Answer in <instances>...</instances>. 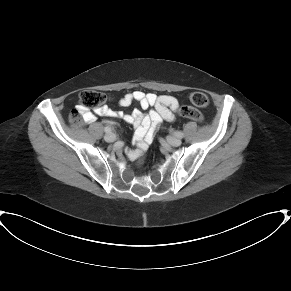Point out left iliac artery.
I'll return each mask as SVG.
<instances>
[{"instance_id":"left-iliac-artery-1","label":"left iliac artery","mask_w":291,"mask_h":291,"mask_svg":"<svg viewBox=\"0 0 291 291\" xmlns=\"http://www.w3.org/2000/svg\"><path fill=\"white\" fill-rule=\"evenodd\" d=\"M174 135H175L176 137H178V138H183V137H184V134H183V132H181V131H175V132H174Z\"/></svg>"}]
</instances>
